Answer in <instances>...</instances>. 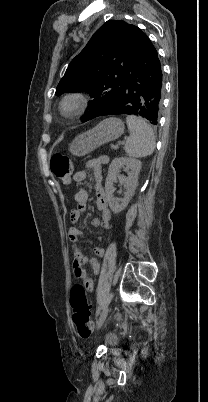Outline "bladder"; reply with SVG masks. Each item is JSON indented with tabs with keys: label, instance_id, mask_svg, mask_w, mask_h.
I'll return each mask as SVG.
<instances>
[{
	"label": "bladder",
	"instance_id": "31cf9c89",
	"mask_svg": "<svg viewBox=\"0 0 208 402\" xmlns=\"http://www.w3.org/2000/svg\"><path fill=\"white\" fill-rule=\"evenodd\" d=\"M110 344H112V343H115L116 341H117V337L116 338H109L108 340H107Z\"/></svg>",
	"mask_w": 208,
	"mask_h": 402
}]
</instances>
